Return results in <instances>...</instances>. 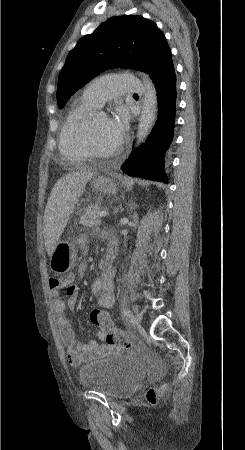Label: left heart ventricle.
<instances>
[{
	"label": "left heart ventricle",
	"instance_id": "left-heart-ventricle-1",
	"mask_svg": "<svg viewBox=\"0 0 245 450\" xmlns=\"http://www.w3.org/2000/svg\"><path fill=\"white\" fill-rule=\"evenodd\" d=\"M108 119L105 116H97L92 119L93 133L97 146L105 152H113L118 148L109 133Z\"/></svg>",
	"mask_w": 245,
	"mask_h": 450
}]
</instances>
